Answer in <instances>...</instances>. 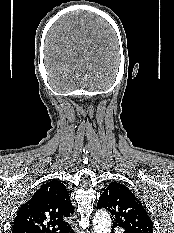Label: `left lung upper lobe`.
<instances>
[{"instance_id": "left-lung-upper-lobe-1", "label": "left lung upper lobe", "mask_w": 174, "mask_h": 233, "mask_svg": "<svg viewBox=\"0 0 174 233\" xmlns=\"http://www.w3.org/2000/svg\"><path fill=\"white\" fill-rule=\"evenodd\" d=\"M97 206L109 210L114 219L113 227L124 229V233H153V223L141 202L118 182L109 184Z\"/></svg>"}]
</instances>
